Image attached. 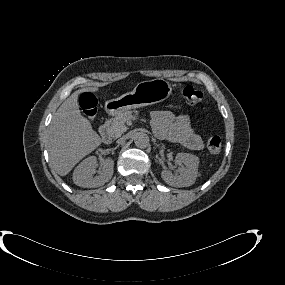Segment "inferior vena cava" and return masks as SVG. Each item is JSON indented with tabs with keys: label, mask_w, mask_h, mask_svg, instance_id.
Returning <instances> with one entry per match:
<instances>
[{
	"label": "inferior vena cava",
	"mask_w": 285,
	"mask_h": 285,
	"mask_svg": "<svg viewBox=\"0 0 285 285\" xmlns=\"http://www.w3.org/2000/svg\"><path fill=\"white\" fill-rule=\"evenodd\" d=\"M128 142V137L126 135H121L117 140L119 144H126Z\"/></svg>",
	"instance_id": "1"
}]
</instances>
